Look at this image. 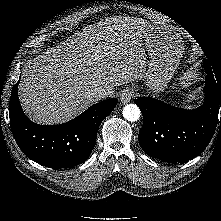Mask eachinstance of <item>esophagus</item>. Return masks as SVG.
Here are the masks:
<instances>
[{
  "label": "esophagus",
  "mask_w": 221,
  "mask_h": 221,
  "mask_svg": "<svg viewBox=\"0 0 221 221\" xmlns=\"http://www.w3.org/2000/svg\"><path fill=\"white\" fill-rule=\"evenodd\" d=\"M135 92L132 89H125L120 94V100L122 103H128L131 101L132 98H134Z\"/></svg>",
  "instance_id": "34e87169"
}]
</instances>
